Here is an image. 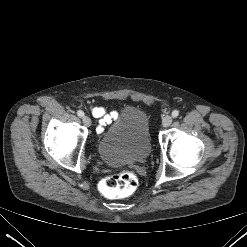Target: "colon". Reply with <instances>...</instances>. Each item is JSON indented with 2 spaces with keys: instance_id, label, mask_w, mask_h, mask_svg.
Segmentation results:
<instances>
[{
  "instance_id": "colon-1",
  "label": "colon",
  "mask_w": 247,
  "mask_h": 247,
  "mask_svg": "<svg viewBox=\"0 0 247 247\" xmlns=\"http://www.w3.org/2000/svg\"><path fill=\"white\" fill-rule=\"evenodd\" d=\"M137 186V175L132 171L124 170L105 178L101 183V190L109 198H120L132 194Z\"/></svg>"
}]
</instances>
